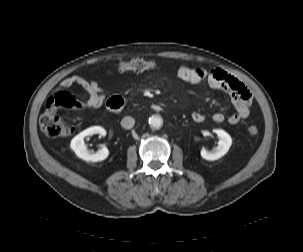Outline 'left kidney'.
I'll return each instance as SVG.
<instances>
[{
	"label": "left kidney",
	"mask_w": 303,
	"mask_h": 252,
	"mask_svg": "<svg viewBox=\"0 0 303 252\" xmlns=\"http://www.w3.org/2000/svg\"><path fill=\"white\" fill-rule=\"evenodd\" d=\"M213 132L219 137L218 146L213 151L202 149L200 152L201 157L208 161H214L224 156L232 144L230 135L224 130L214 129Z\"/></svg>",
	"instance_id": "obj_1"
}]
</instances>
